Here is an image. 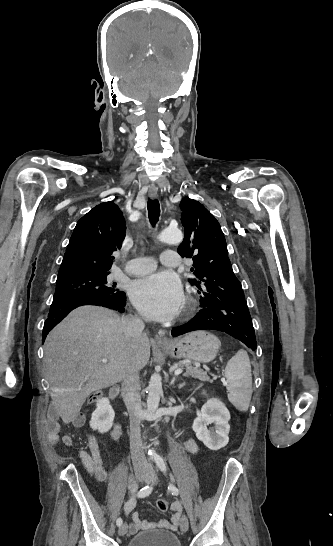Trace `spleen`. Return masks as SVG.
I'll list each match as a JSON object with an SVG mask.
<instances>
[{"label": "spleen", "instance_id": "1", "mask_svg": "<svg viewBox=\"0 0 333 546\" xmlns=\"http://www.w3.org/2000/svg\"><path fill=\"white\" fill-rule=\"evenodd\" d=\"M229 401L240 411L249 408L252 396V374L248 354L239 350L225 368Z\"/></svg>", "mask_w": 333, "mask_h": 546}]
</instances>
